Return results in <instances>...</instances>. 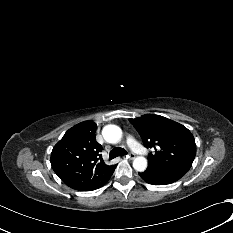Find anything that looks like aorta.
Listing matches in <instances>:
<instances>
[{
	"mask_svg": "<svg viewBox=\"0 0 233 233\" xmlns=\"http://www.w3.org/2000/svg\"><path fill=\"white\" fill-rule=\"evenodd\" d=\"M102 135L108 143H118L122 137V130L116 125H107L102 130ZM133 168L136 171L144 172L147 168V159L143 156L133 160Z\"/></svg>",
	"mask_w": 233,
	"mask_h": 233,
	"instance_id": "762f6f07",
	"label": "aorta"
}]
</instances>
